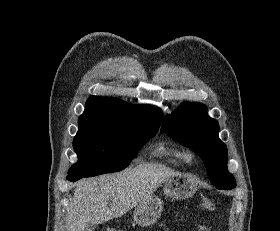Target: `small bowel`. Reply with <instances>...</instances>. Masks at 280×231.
Returning <instances> with one entry per match:
<instances>
[{
    "label": "small bowel",
    "instance_id": "small-bowel-1",
    "mask_svg": "<svg viewBox=\"0 0 280 231\" xmlns=\"http://www.w3.org/2000/svg\"><path fill=\"white\" fill-rule=\"evenodd\" d=\"M197 230L198 231H211V228L207 225L200 224V225H198Z\"/></svg>",
    "mask_w": 280,
    "mask_h": 231
}]
</instances>
